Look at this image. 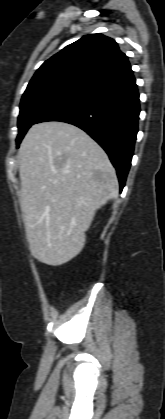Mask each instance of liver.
I'll return each mask as SVG.
<instances>
[{"instance_id": "obj_1", "label": "liver", "mask_w": 165, "mask_h": 419, "mask_svg": "<svg viewBox=\"0 0 165 419\" xmlns=\"http://www.w3.org/2000/svg\"><path fill=\"white\" fill-rule=\"evenodd\" d=\"M20 205L29 249L59 266L77 256L95 212L118 195L105 151L64 122L33 125L19 149Z\"/></svg>"}]
</instances>
